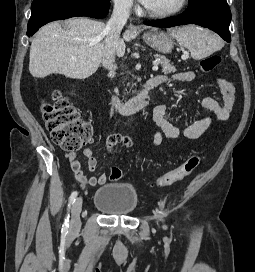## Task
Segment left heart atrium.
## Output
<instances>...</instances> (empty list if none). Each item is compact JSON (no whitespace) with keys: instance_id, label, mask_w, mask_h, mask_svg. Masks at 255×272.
I'll return each instance as SVG.
<instances>
[{"instance_id":"left-heart-atrium-1","label":"left heart atrium","mask_w":255,"mask_h":272,"mask_svg":"<svg viewBox=\"0 0 255 272\" xmlns=\"http://www.w3.org/2000/svg\"><path fill=\"white\" fill-rule=\"evenodd\" d=\"M140 1L145 6H147L149 4V2H150V0H140Z\"/></svg>"}]
</instances>
